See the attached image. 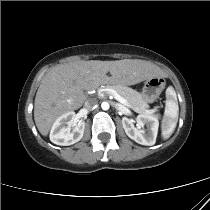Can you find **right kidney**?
Returning a JSON list of instances; mask_svg holds the SVG:
<instances>
[{
  "label": "right kidney",
  "instance_id": "1",
  "mask_svg": "<svg viewBox=\"0 0 210 210\" xmlns=\"http://www.w3.org/2000/svg\"><path fill=\"white\" fill-rule=\"evenodd\" d=\"M75 116V112L71 111L56 119L50 131V140L52 143L68 146L82 139L85 123H77Z\"/></svg>",
  "mask_w": 210,
  "mask_h": 210
}]
</instances>
